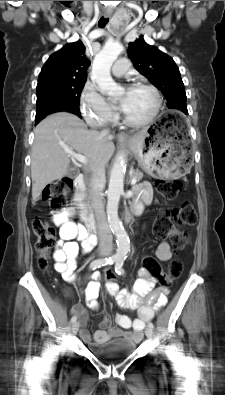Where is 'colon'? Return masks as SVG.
<instances>
[{"mask_svg": "<svg viewBox=\"0 0 225 395\" xmlns=\"http://www.w3.org/2000/svg\"><path fill=\"white\" fill-rule=\"evenodd\" d=\"M72 187L73 180L70 177L56 180L45 188L43 201L48 203L53 211L60 213L67 206V196ZM155 187L165 199L173 200L181 191L182 182L180 180L159 179L155 181ZM196 218L193 205L189 202H183L178 207L159 214L153 226V234L158 238H170L174 247L177 250H181L188 244V235L182 227L193 225L196 222ZM32 229L36 238L35 249L38 255V267L41 270H46L49 266L50 253L55 243V229L40 219L33 221ZM143 255L140 271L149 272L150 275H153V281H159L162 288H173V281L179 277L182 270L180 260H173L165 272L164 268H160L158 262L152 258L151 254L144 251ZM117 279L118 272H107L104 286L107 283H118Z\"/></svg>", "mask_w": 225, "mask_h": 395, "instance_id": "obj_1", "label": "colon"}]
</instances>
